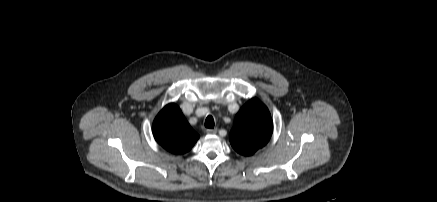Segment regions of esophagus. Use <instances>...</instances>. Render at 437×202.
Listing matches in <instances>:
<instances>
[{
    "mask_svg": "<svg viewBox=\"0 0 437 202\" xmlns=\"http://www.w3.org/2000/svg\"><path fill=\"white\" fill-rule=\"evenodd\" d=\"M206 132L208 133V134H216L217 133V128H214V129H207L206 130Z\"/></svg>",
    "mask_w": 437,
    "mask_h": 202,
    "instance_id": "esophagus-1",
    "label": "esophagus"
}]
</instances>
